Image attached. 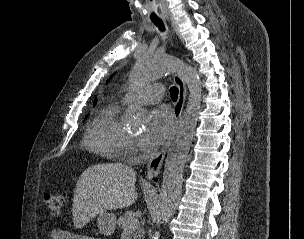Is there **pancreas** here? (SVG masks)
I'll return each instance as SVG.
<instances>
[{
    "label": "pancreas",
    "mask_w": 304,
    "mask_h": 239,
    "mask_svg": "<svg viewBox=\"0 0 304 239\" xmlns=\"http://www.w3.org/2000/svg\"><path fill=\"white\" fill-rule=\"evenodd\" d=\"M135 220L138 222V225L133 229L134 233L132 234V238L141 239L144 235V230H143V228L140 227L136 212L127 211L124 216H121L118 219L117 224H118V227L125 229V228H128L131 225V223Z\"/></svg>",
    "instance_id": "obj_1"
}]
</instances>
